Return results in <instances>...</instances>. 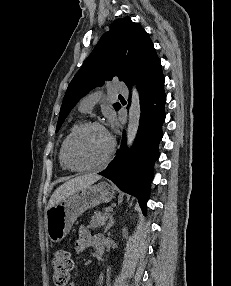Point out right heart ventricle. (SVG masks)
<instances>
[{"label":"right heart ventricle","mask_w":231,"mask_h":286,"mask_svg":"<svg viewBox=\"0 0 231 286\" xmlns=\"http://www.w3.org/2000/svg\"><path fill=\"white\" fill-rule=\"evenodd\" d=\"M80 124V121H77L75 122L69 129L68 133L66 134V136L64 137L62 143H61V146H60V149H59V153H58V159H59V163L61 165V167L65 170H68L67 167L65 166L64 164V161H63V148H64V144H65V141L68 137V135Z\"/></svg>","instance_id":"right-heart-ventricle-1"}]
</instances>
